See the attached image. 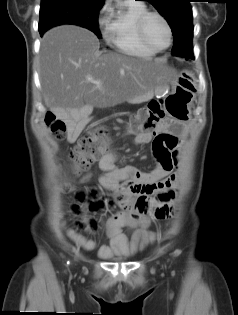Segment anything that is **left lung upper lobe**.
<instances>
[{
  "instance_id": "1",
  "label": "left lung upper lobe",
  "mask_w": 238,
  "mask_h": 315,
  "mask_svg": "<svg viewBox=\"0 0 238 315\" xmlns=\"http://www.w3.org/2000/svg\"><path fill=\"white\" fill-rule=\"evenodd\" d=\"M152 3L170 25L173 37L182 35L192 42L193 24L190 0H146Z\"/></svg>"
}]
</instances>
